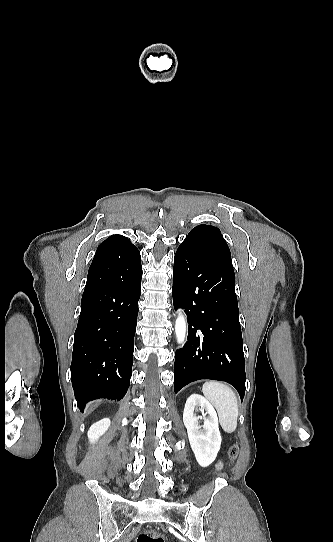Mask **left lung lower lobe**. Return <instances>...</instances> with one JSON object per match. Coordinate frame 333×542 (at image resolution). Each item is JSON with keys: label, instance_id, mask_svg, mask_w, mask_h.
Returning <instances> with one entry per match:
<instances>
[{"label": "left lung lower lobe", "instance_id": "0a47b994", "mask_svg": "<svg viewBox=\"0 0 333 542\" xmlns=\"http://www.w3.org/2000/svg\"><path fill=\"white\" fill-rule=\"evenodd\" d=\"M173 304L185 309L188 338L175 353L174 391L199 379L225 381L245 395V359L235 273L181 243L174 258Z\"/></svg>", "mask_w": 333, "mask_h": 542}]
</instances>
